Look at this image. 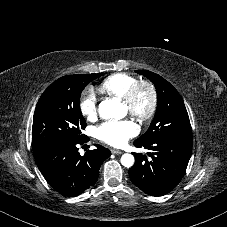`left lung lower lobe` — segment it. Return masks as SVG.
Segmentation results:
<instances>
[{"mask_svg":"<svg viewBox=\"0 0 227 227\" xmlns=\"http://www.w3.org/2000/svg\"><path fill=\"white\" fill-rule=\"evenodd\" d=\"M134 145L150 152L147 156L133 153L135 164L129 169L132 183L151 196H162L172 191L185 174L192 152V136Z\"/></svg>","mask_w":227,"mask_h":227,"instance_id":"1","label":"left lung lower lobe"}]
</instances>
